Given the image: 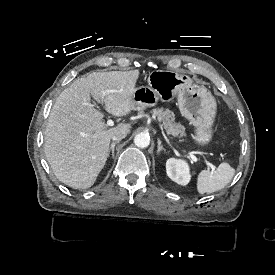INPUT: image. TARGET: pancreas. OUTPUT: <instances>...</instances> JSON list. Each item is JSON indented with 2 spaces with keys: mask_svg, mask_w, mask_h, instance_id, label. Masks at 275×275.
Segmentation results:
<instances>
[{
  "mask_svg": "<svg viewBox=\"0 0 275 275\" xmlns=\"http://www.w3.org/2000/svg\"><path fill=\"white\" fill-rule=\"evenodd\" d=\"M153 116L158 119L159 122H163V128L166 130L167 134L172 135L176 138L180 135L182 136L185 126L180 122L174 121V112L163 108L153 109Z\"/></svg>",
  "mask_w": 275,
  "mask_h": 275,
  "instance_id": "obj_1",
  "label": "pancreas"
}]
</instances>
